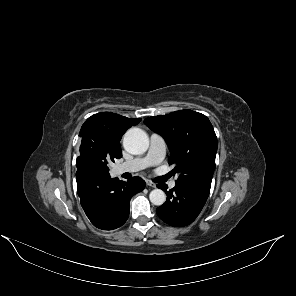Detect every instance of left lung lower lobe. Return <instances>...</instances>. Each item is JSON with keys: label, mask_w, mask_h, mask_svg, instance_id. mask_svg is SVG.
Wrapping results in <instances>:
<instances>
[{"label": "left lung lower lobe", "mask_w": 296, "mask_h": 296, "mask_svg": "<svg viewBox=\"0 0 296 296\" xmlns=\"http://www.w3.org/2000/svg\"><path fill=\"white\" fill-rule=\"evenodd\" d=\"M167 195L166 203L156 209L157 215L167 224L183 227L193 222L208 198L211 185L176 184L167 191L166 184L157 185Z\"/></svg>", "instance_id": "left-lung-lower-lobe-1"}]
</instances>
